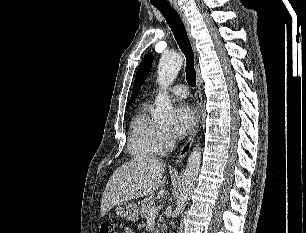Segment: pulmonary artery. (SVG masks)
<instances>
[{"label": "pulmonary artery", "instance_id": "pulmonary-artery-1", "mask_svg": "<svg viewBox=\"0 0 306 233\" xmlns=\"http://www.w3.org/2000/svg\"><path fill=\"white\" fill-rule=\"evenodd\" d=\"M169 92L177 98H186L189 95L188 88L184 84H177L169 89Z\"/></svg>", "mask_w": 306, "mask_h": 233}]
</instances>
